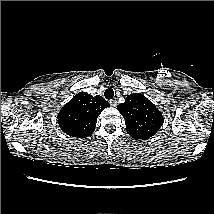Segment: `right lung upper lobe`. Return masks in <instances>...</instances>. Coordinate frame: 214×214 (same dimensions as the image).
<instances>
[{"label":"right lung upper lobe","instance_id":"cb5924a9","mask_svg":"<svg viewBox=\"0 0 214 214\" xmlns=\"http://www.w3.org/2000/svg\"><path fill=\"white\" fill-rule=\"evenodd\" d=\"M109 103L100 95L76 94L60 110L57 119L61 130L73 137L85 138L95 129L97 118Z\"/></svg>","mask_w":214,"mask_h":214}]
</instances>
